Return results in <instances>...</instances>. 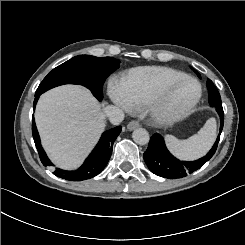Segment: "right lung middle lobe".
Instances as JSON below:
<instances>
[{
	"instance_id": "1",
	"label": "right lung middle lobe",
	"mask_w": 245,
	"mask_h": 245,
	"mask_svg": "<svg viewBox=\"0 0 245 245\" xmlns=\"http://www.w3.org/2000/svg\"><path fill=\"white\" fill-rule=\"evenodd\" d=\"M119 63L111 57L75 56L53 69L39 85L36 95L62 84H80L89 88L101 101L103 83L119 67Z\"/></svg>"
}]
</instances>
